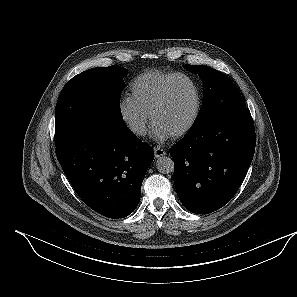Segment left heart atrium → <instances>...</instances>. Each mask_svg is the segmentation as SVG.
<instances>
[{
	"instance_id": "1",
	"label": "left heart atrium",
	"mask_w": 297,
	"mask_h": 297,
	"mask_svg": "<svg viewBox=\"0 0 297 297\" xmlns=\"http://www.w3.org/2000/svg\"><path fill=\"white\" fill-rule=\"evenodd\" d=\"M151 135L154 139L157 140H165L170 136L165 131L161 130L160 128L154 125L152 126Z\"/></svg>"
}]
</instances>
